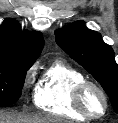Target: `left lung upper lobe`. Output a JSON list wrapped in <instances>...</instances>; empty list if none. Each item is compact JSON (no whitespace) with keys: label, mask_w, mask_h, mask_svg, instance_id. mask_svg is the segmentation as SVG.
<instances>
[{"label":"left lung upper lobe","mask_w":118,"mask_h":123,"mask_svg":"<svg viewBox=\"0 0 118 123\" xmlns=\"http://www.w3.org/2000/svg\"><path fill=\"white\" fill-rule=\"evenodd\" d=\"M55 35L57 44L100 82L118 113V65L111 46L82 21L57 30Z\"/></svg>","instance_id":"obj_1"}]
</instances>
